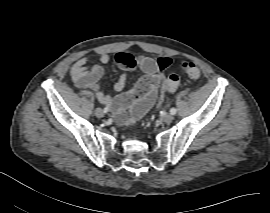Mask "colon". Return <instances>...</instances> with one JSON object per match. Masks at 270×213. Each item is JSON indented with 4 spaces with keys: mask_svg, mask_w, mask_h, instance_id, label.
I'll list each match as a JSON object with an SVG mask.
<instances>
[{
    "mask_svg": "<svg viewBox=\"0 0 270 213\" xmlns=\"http://www.w3.org/2000/svg\"><path fill=\"white\" fill-rule=\"evenodd\" d=\"M126 57H127L128 63L130 65H133V59L131 57H129L128 55ZM181 68L184 70L186 75L192 79H197L201 75V71H200L199 66L192 61L182 62ZM178 85H179V77L177 75L173 74L167 78L165 84L163 85L162 93H164L166 90L167 91H175L177 89ZM136 96H137V93L134 91V92H131L130 94H128L127 98L129 100H133V99H135Z\"/></svg>",
    "mask_w": 270,
    "mask_h": 213,
    "instance_id": "colon-1",
    "label": "colon"
}]
</instances>
